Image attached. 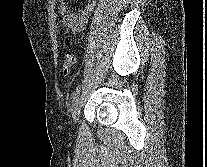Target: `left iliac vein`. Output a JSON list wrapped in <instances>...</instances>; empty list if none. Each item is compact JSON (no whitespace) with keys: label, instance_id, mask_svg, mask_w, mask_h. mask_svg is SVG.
<instances>
[{"label":"left iliac vein","instance_id":"4c4485c4","mask_svg":"<svg viewBox=\"0 0 207 167\" xmlns=\"http://www.w3.org/2000/svg\"><path fill=\"white\" fill-rule=\"evenodd\" d=\"M80 110H81V98L78 97L75 100V103L73 105L72 112H71L72 113V120H73L74 124L78 123Z\"/></svg>","mask_w":207,"mask_h":167}]
</instances>
